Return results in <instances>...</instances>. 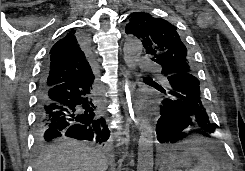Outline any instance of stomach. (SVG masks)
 <instances>
[{"label":"stomach","instance_id":"0dacf381","mask_svg":"<svg viewBox=\"0 0 245 171\" xmlns=\"http://www.w3.org/2000/svg\"><path fill=\"white\" fill-rule=\"evenodd\" d=\"M174 158L172 160V166L173 167H187L190 165L191 157L190 155H184V158H181L179 160H175ZM175 171H181V170H175Z\"/></svg>","mask_w":245,"mask_h":171}]
</instances>
